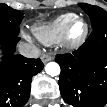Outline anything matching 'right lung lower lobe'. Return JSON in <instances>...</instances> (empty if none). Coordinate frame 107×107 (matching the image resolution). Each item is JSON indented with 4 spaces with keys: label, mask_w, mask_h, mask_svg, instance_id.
<instances>
[{
    "label": "right lung lower lobe",
    "mask_w": 107,
    "mask_h": 107,
    "mask_svg": "<svg viewBox=\"0 0 107 107\" xmlns=\"http://www.w3.org/2000/svg\"><path fill=\"white\" fill-rule=\"evenodd\" d=\"M19 39L18 35H0L4 54L0 63V107L24 106L30 96L32 77L44 67L40 59L14 54Z\"/></svg>",
    "instance_id": "1"
}]
</instances>
